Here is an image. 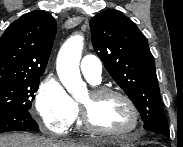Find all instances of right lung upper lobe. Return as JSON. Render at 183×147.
<instances>
[{
	"label": "right lung upper lobe",
	"instance_id": "cb5924a9",
	"mask_svg": "<svg viewBox=\"0 0 183 147\" xmlns=\"http://www.w3.org/2000/svg\"><path fill=\"white\" fill-rule=\"evenodd\" d=\"M57 31L55 19L35 10L14 21L0 38V81L40 77Z\"/></svg>",
	"mask_w": 183,
	"mask_h": 147
}]
</instances>
